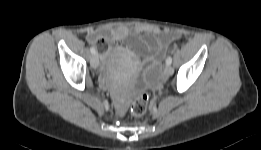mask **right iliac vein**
Instances as JSON below:
<instances>
[{
    "mask_svg": "<svg viewBox=\"0 0 261 150\" xmlns=\"http://www.w3.org/2000/svg\"><path fill=\"white\" fill-rule=\"evenodd\" d=\"M90 64L93 68H97L99 66V59L97 54H93L90 59Z\"/></svg>",
    "mask_w": 261,
    "mask_h": 150,
    "instance_id": "right-iliac-vein-1",
    "label": "right iliac vein"
}]
</instances>
